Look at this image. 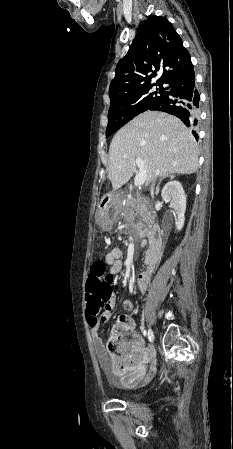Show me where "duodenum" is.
I'll use <instances>...</instances> for the list:
<instances>
[{
    "instance_id": "1",
    "label": "duodenum",
    "mask_w": 233,
    "mask_h": 449,
    "mask_svg": "<svg viewBox=\"0 0 233 449\" xmlns=\"http://www.w3.org/2000/svg\"><path fill=\"white\" fill-rule=\"evenodd\" d=\"M113 204L111 197H106L101 203V208L106 210ZM162 252V238L159 229L154 230L150 236V247L145 254V270L143 272L153 273Z\"/></svg>"
}]
</instances>
